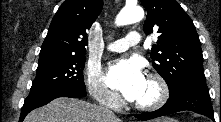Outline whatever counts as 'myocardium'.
<instances>
[{
    "mask_svg": "<svg viewBox=\"0 0 221 122\" xmlns=\"http://www.w3.org/2000/svg\"><path fill=\"white\" fill-rule=\"evenodd\" d=\"M147 80L152 82L156 89V97L149 102H135L134 107L141 111H153L162 107L169 98V86L166 80L158 73H150Z\"/></svg>",
    "mask_w": 221,
    "mask_h": 122,
    "instance_id": "obj_1",
    "label": "myocardium"
}]
</instances>
